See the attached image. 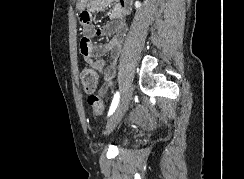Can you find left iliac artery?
<instances>
[{
	"instance_id": "44dca946",
	"label": "left iliac artery",
	"mask_w": 244,
	"mask_h": 179,
	"mask_svg": "<svg viewBox=\"0 0 244 179\" xmlns=\"http://www.w3.org/2000/svg\"><path fill=\"white\" fill-rule=\"evenodd\" d=\"M119 98H120L119 92H116V94L114 95V98L112 100V103H111V106H110V109L108 112V116L112 115L113 112L115 111V109L117 108V105L119 103Z\"/></svg>"
}]
</instances>
